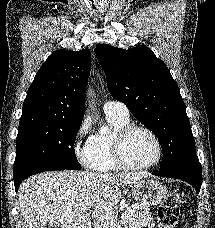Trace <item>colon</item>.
I'll list each match as a JSON object with an SVG mask.
<instances>
[{
	"instance_id": "colon-1",
	"label": "colon",
	"mask_w": 215,
	"mask_h": 228,
	"mask_svg": "<svg viewBox=\"0 0 215 228\" xmlns=\"http://www.w3.org/2000/svg\"><path fill=\"white\" fill-rule=\"evenodd\" d=\"M179 218V207L172 198L165 201L158 210L159 228H175Z\"/></svg>"
}]
</instances>
